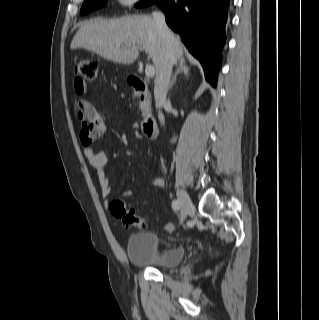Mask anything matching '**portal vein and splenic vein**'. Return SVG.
Returning a JSON list of instances; mask_svg holds the SVG:
<instances>
[{
  "mask_svg": "<svg viewBox=\"0 0 319 320\" xmlns=\"http://www.w3.org/2000/svg\"><path fill=\"white\" fill-rule=\"evenodd\" d=\"M145 74L147 77H153L155 75V67L152 65L146 66Z\"/></svg>",
  "mask_w": 319,
  "mask_h": 320,
  "instance_id": "obj_1",
  "label": "portal vein and splenic vein"
}]
</instances>
